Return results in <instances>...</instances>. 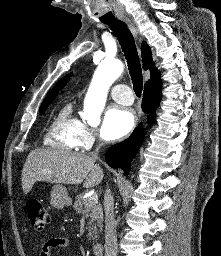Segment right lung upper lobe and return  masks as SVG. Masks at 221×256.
I'll return each instance as SVG.
<instances>
[{"instance_id":"right-lung-upper-lobe-1","label":"right lung upper lobe","mask_w":221,"mask_h":256,"mask_svg":"<svg viewBox=\"0 0 221 256\" xmlns=\"http://www.w3.org/2000/svg\"><path fill=\"white\" fill-rule=\"evenodd\" d=\"M141 52H142V61H143V69L150 70L151 77L150 79L146 82L144 89L146 88H156V87H162V81L160 77V72L155 68V65L152 62V54L149 46L143 42L142 47H141ZM72 73L69 75H66L63 77L57 85L54 86V88L50 91L48 96L46 97L49 98L53 95H57L58 91L61 90L68 82L70 79V76ZM45 99V100H46Z\"/></svg>"}]
</instances>
